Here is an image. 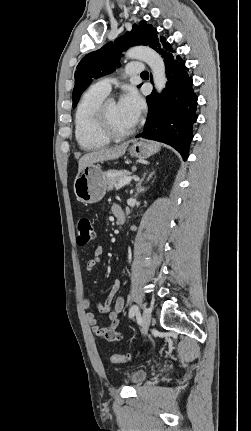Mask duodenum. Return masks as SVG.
I'll use <instances>...</instances> for the list:
<instances>
[{"mask_svg":"<svg viewBox=\"0 0 251 431\" xmlns=\"http://www.w3.org/2000/svg\"><path fill=\"white\" fill-rule=\"evenodd\" d=\"M115 216H116L117 221H118V223L120 225L124 224V222H125V213H124V211L117 212Z\"/></svg>","mask_w":251,"mask_h":431,"instance_id":"1","label":"duodenum"}]
</instances>
